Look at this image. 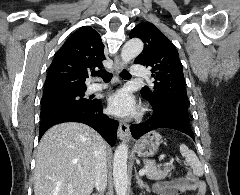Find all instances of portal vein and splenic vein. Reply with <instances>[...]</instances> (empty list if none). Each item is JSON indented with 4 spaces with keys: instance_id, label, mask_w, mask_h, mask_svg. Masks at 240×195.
Masks as SVG:
<instances>
[{
    "instance_id": "obj_1",
    "label": "portal vein and splenic vein",
    "mask_w": 240,
    "mask_h": 195,
    "mask_svg": "<svg viewBox=\"0 0 240 195\" xmlns=\"http://www.w3.org/2000/svg\"><path fill=\"white\" fill-rule=\"evenodd\" d=\"M147 169H140L139 171V175H144V173H146Z\"/></svg>"
}]
</instances>
